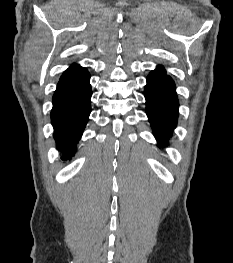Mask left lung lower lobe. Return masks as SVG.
Listing matches in <instances>:
<instances>
[{"instance_id": "1", "label": "left lung lower lobe", "mask_w": 233, "mask_h": 263, "mask_svg": "<svg viewBox=\"0 0 233 263\" xmlns=\"http://www.w3.org/2000/svg\"><path fill=\"white\" fill-rule=\"evenodd\" d=\"M175 83L162 66L151 71L145 86L146 113L160 146H167L178 119Z\"/></svg>"}]
</instances>
